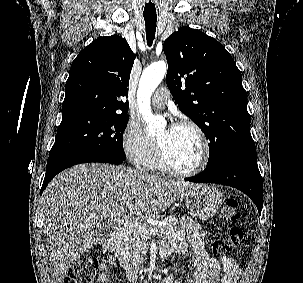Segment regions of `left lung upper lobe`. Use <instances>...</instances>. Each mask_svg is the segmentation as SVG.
Here are the masks:
<instances>
[{"instance_id":"obj_1","label":"left lung upper lobe","mask_w":303,"mask_h":283,"mask_svg":"<svg viewBox=\"0 0 303 283\" xmlns=\"http://www.w3.org/2000/svg\"><path fill=\"white\" fill-rule=\"evenodd\" d=\"M163 49L171 94L210 142L207 167L255 148L241 72L223 45L186 26L170 35Z\"/></svg>"}]
</instances>
